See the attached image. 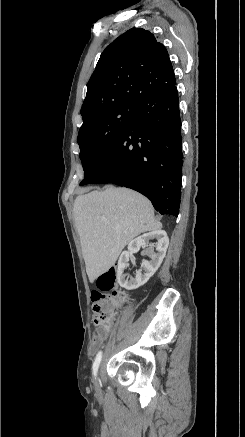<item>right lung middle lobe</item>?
<instances>
[{"instance_id":"1","label":"right lung middle lobe","mask_w":245,"mask_h":437,"mask_svg":"<svg viewBox=\"0 0 245 437\" xmlns=\"http://www.w3.org/2000/svg\"><path fill=\"white\" fill-rule=\"evenodd\" d=\"M135 109V104H113L99 109L83 120L78 134L80 160L84 170V179L80 185L114 150Z\"/></svg>"}]
</instances>
